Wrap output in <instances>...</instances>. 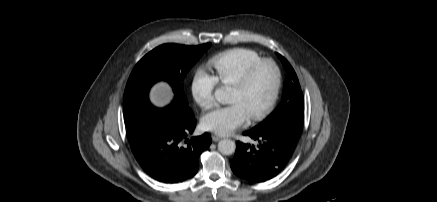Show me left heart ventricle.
I'll return each instance as SVG.
<instances>
[{
  "mask_svg": "<svg viewBox=\"0 0 437 202\" xmlns=\"http://www.w3.org/2000/svg\"><path fill=\"white\" fill-rule=\"evenodd\" d=\"M275 80L274 68L270 64H263L255 71L245 87H232L230 102H240L250 117L260 111L269 101Z\"/></svg>",
  "mask_w": 437,
  "mask_h": 202,
  "instance_id": "left-heart-ventricle-1",
  "label": "left heart ventricle"
}]
</instances>
